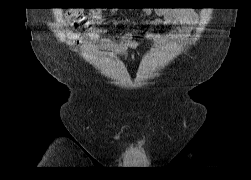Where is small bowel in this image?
Masks as SVG:
<instances>
[{
  "label": "small bowel",
  "mask_w": 251,
  "mask_h": 180,
  "mask_svg": "<svg viewBox=\"0 0 251 180\" xmlns=\"http://www.w3.org/2000/svg\"><path fill=\"white\" fill-rule=\"evenodd\" d=\"M152 14L154 18L151 23L178 27L170 33L150 32L145 35L147 39L163 45L170 44L175 40H186L192 26L196 25L199 20L198 14L190 9H159ZM104 16L105 13L101 9H92L87 12L71 10L66 13L65 18L69 23L85 21L90 25H98L102 22ZM101 35L102 30L96 27H92L87 33L91 41L121 53L127 52L138 44L130 32L124 33L121 38L115 42L104 39ZM67 36L70 39L78 38L75 32H68Z\"/></svg>",
  "instance_id": "obj_1"
}]
</instances>
